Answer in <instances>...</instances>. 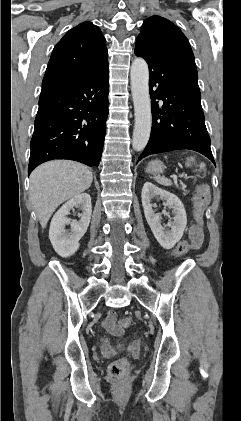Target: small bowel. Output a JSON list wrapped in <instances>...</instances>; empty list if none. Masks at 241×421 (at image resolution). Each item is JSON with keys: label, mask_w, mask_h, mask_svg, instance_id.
I'll list each match as a JSON object with an SVG mask.
<instances>
[{"label": "small bowel", "mask_w": 241, "mask_h": 421, "mask_svg": "<svg viewBox=\"0 0 241 421\" xmlns=\"http://www.w3.org/2000/svg\"><path fill=\"white\" fill-rule=\"evenodd\" d=\"M193 248H198L203 242L202 231L197 226H192L189 231ZM103 328L110 334L118 335L123 332V326L116 324V317L113 311H109L103 320Z\"/></svg>", "instance_id": "obj_1"}]
</instances>
